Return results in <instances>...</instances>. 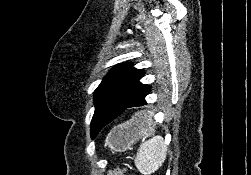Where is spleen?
<instances>
[{
	"label": "spleen",
	"instance_id": "1",
	"mask_svg": "<svg viewBox=\"0 0 251 175\" xmlns=\"http://www.w3.org/2000/svg\"><path fill=\"white\" fill-rule=\"evenodd\" d=\"M138 115H147L150 119L149 111H138ZM167 147L161 135H153L140 143V147L135 157V165L143 175H150L162 165L166 157Z\"/></svg>",
	"mask_w": 251,
	"mask_h": 175
}]
</instances>
